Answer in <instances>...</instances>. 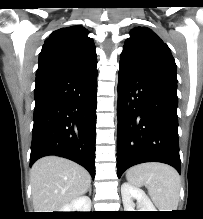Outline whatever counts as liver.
Masks as SVG:
<instances>
[{
	"label": "liver",
	"instance_id": "1",
	"mask_svg": "<svg viewBox=\"0 0 203 219\" xmlns=\"http://www.w3.org/2000/svg\"><path fill=\"white\" fill-rule=\"evenodd\" d=\"M30 182L35 212H59L63 206L87 192L91 176L71 160L46 156L33 164Z\"/></svg>",
	"mask_w": 203,
	"mask_h": 219
}]
</instances>
